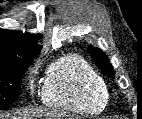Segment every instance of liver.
<instances>
[{
  "mask_svg": "<svg viewBox=\"0 0 142 119\" xmlns=\"http://www.w3.org/2000/svg\"><path fill=\"white\" fill-rule=\"evenodd\" d=\"M66 117L67 116L65 114L48 111L45 109H26L23 112L19 113V116L14 117L0 113V119H64Z\"/></svg>",
  "mask_w": 142,
  "mask_h": 119,
  "instance_id": "6515ba94",
  "label": "liver"
}]
</instances>
